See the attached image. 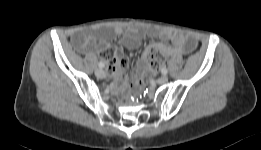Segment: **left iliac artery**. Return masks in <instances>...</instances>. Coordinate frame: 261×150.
I'll return each instance as SVG.
<instances>
[{
    "label": "left iliac artery",
    "instance_id": "left-iliac-artery-1",
    "mask_svg": "<svg viewBox=\"0 0 261 150\" xmlns=\"http://www.w3.org/2000/svg\"><path fill=\"white\" fill-rule=\"evenodd\" d=\"M161 72H162V74L166 75L168 71H167L166 68H163V69L161 70Z\"/></svg>",
    "mask_w": 261,
    "mask_h": 150
}]
</instances>
